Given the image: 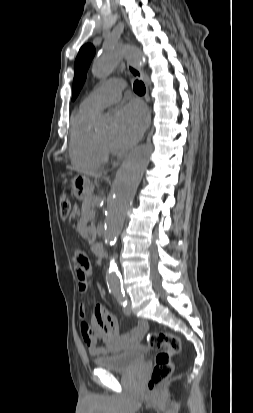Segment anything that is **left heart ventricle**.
Wrapping results in <instances>:
<instances>
[{"mask_svg":"<svg viewBox=\"0 0 253 413\" xmlns=\"http://www.w3.org/2000/svg\"><path fill=\"white\" fill-rule=\"evenodd\" d=\"M103 138H104L105 140L110 139V134H107V135L103 136Z\"/></svg>","mask_w":253,"mask_h":413,"instance_id":"obj_1","label":"left heart ventricle"}]
</instances>
